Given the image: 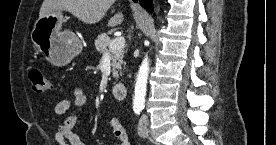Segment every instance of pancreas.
Listing matches in <instances>:
<instances>
[{
  "instance_id": "cf45deb5",
  "label": "pancreas",
  "mask_w": 276,
  "mask_h": 145,
  "mask_svg": "<svg viewBox=\"0 0 276 145\" xmlns=\"http://www.w3.org/2000/svg\"><path fill=\"white\" fill-rule=\"evenodd\" d=\"M112 42V39L108 37L107 34L103 33L99 35L95 40V48L100 54H105L106 52H111L112 60V76L115 79H118L121 75L122 65H124L123 55L124 47L119 49L110 50L109 45Z\"/></svg>"
}]
</instances>
